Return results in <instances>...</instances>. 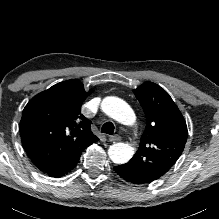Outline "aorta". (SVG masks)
I'll use <instances>...</instances> for the list:
<instances>
[{
	"label": "aorta",
	"instance_id": "762f6f07",
	"mask_svg": "<svg viewBox=\"0 0 219 219\" xmlns=\"http://www.w3.org/2000/svg\"><path fill=\"white\" fill-rule=\"evenodd\" d=\"M101 107L106 115L124 125H133L136 121V116L132 108L118 97H106ZM133 154L134 148L125 143L113 144L108 150L110 159L117 164L128 162Z\"/></svg>",
	"mask_w": 219,
	"mask_h": 219
}]
</instances>
